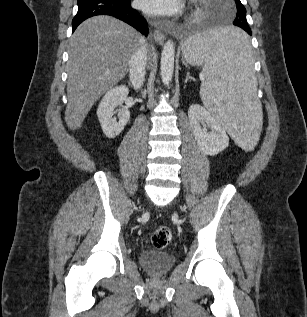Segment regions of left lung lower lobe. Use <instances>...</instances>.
<instances>
[{
	"label": "left lung lower lobe",
	"instance_id": "left-lung-lower-lobe-1",
	"mask_svg": "<svg viewBox=\"0 0 307 317\" xmlns=\"http://www.w3.org/2000/svg\"><path fill=\"white\" fill-rule=\"evenodd\" d=\"M245 30L249 35H252L251 29L248 26L242 25L238 26ZM225 43L228 45L230 49L241 51L243 50L249 43L246 36H230L225 39Z\"/></svg>",
	"mask_w": 307,
	"mask_h": 317
}]
</instances>
